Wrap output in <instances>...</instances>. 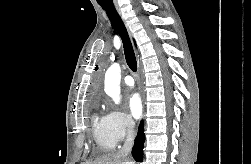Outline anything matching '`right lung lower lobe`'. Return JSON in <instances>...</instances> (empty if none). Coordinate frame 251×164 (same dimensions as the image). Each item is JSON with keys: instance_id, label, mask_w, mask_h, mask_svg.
<instances>
[{"instance_id": "right-lung-lower-lobe-1", "label": "right lung lower lobe", "mask_w": 251, "mask_h": 164, "mask_svg": "<svg viewBox=\"0 0 251 164\" xmlns=\"http://www.w3.org/2000/svg\"><path fill=\"white\" fill-rule=\"evenodd\" d=\"M145 141L143 123L139 127L138 134L135 138V143L132 149V156L137 162H142L143 160V144Z\"/></svg>"}]
</instances>
